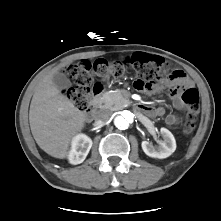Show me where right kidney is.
I'll return each instance as SVG.
<instances>
[{
	"label": "right kidney",
	"mask_w": 221,
	"mask_h": 221,
	"mask_svg": "<svg viewBox=\"0 0 221 221\" xmlns=\"http://www.w3.org/2000/svg\"><path fill=\"white\" fill-rule=\"evenodd\" d=\"M92 147V140L85 134H79L72 140V147L68 155L73 165L82 163Z\"/></svg>",
	"instance_id": "right-kidney-1"
}]
</instances>
